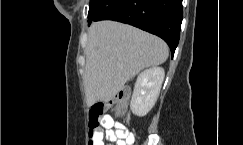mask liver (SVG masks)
<instances>
[{
	"label": "liver",
	"instance_id": "1",
	"mask_svg": "<svg viewBox=\"0 0 243 145\" xmlns=\"http://www.w3.org/2000/svg\"><path fill=\"white\" fill-rule=\"evenodd\" d=\"M169 55L160 38L130 25L99 21L88 30L85 93L88 106L108 102L145 68L164 63Z\"/></svg>",
	"mask_w": 243,
	"mask_h": 145
}]
</instances>
